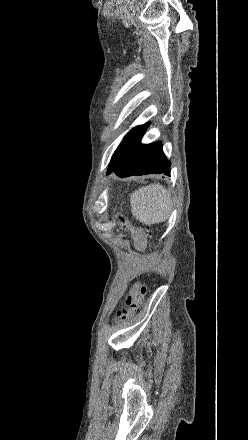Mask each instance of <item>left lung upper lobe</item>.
Returning <instances> with one entry per match:
<instances>
[{
  "instance_id": "5c2ea615",
  "label": "left lung upper lobe",
  "mask_w": 248,
  "mask_h": 440,
  "mask_svg": "<svg viewBox=\"0 0 248 440\" xmlns=\"http://www.w3.org/2000/svg\"><path fill=\"white\" fill-rule=\"evenodd\" d=\"M147 127L148 124L137 126L124 137L123 141L120 143L111 158L109 169L107 172L108 174L111 173L119 164V162L126 156V154L141 141V138L145 133Z\"/></svg>"
}]
</instances>
